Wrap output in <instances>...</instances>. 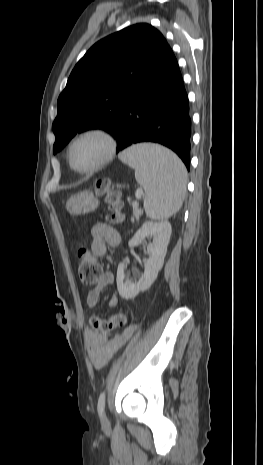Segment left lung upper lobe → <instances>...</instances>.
Wrapping results in <instances>:
<instances>
[{"instance_id":"left-lung-upper-lobe-1","label":"left lung upper lobe","mask_w":263,"mask_h":465,"mask_svg":"<svg viewBox=\"0 0 263 465\" xmlns=\"http://www.w3.org/2000/svg\"><path fill=\"white\" fill-rule=\"evenodd\" d=\"M167 46L163 35L146 23L94 44L76 64L58 98L53 152L88 129L101 128L115 137L136 82Z\"/></svg>"}]
</instances>
